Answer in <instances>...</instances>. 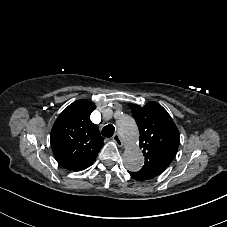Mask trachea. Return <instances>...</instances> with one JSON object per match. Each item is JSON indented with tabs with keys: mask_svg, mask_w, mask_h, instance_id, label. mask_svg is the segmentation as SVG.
<instances>
[{
	"mask_svg": "<svg viewBox=\"0 0 227 227\" xmlns=\"http://www.w3.org/2000/svg\"><path fill=\"white\" fill-rule=\"evenodd\" d=\"M114 130H115L114 126L112 124H108L102 129L101 133L104 137L109 138L113 136Z\"/></svg>",
	"mask_w": 227,
	"mask_h": 227,
	"instance_id": "1",
	"label": "trachea"
}]
</instances>
